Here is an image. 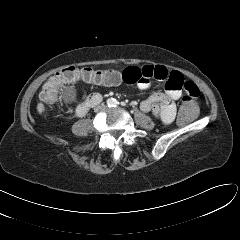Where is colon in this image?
I'll use <instances>...</instances> for the list:
<instances>
[{
	"instance_id": "1",
	"label": "colon",
	"mask_w": 240,
	"mask_h": 240,
	"mask_svg": "<svg viewBox=\"0 0 240 240\" xmlns=\"http://www.w3.org/2000/svg\"><path fill=\"white\" fill-rule=\"evenodd\" d=\"M116 73L113 71H101L92 68L67 67L54 74L42 87L40 97L48 105H53L57 99L58 87L67 82L83 81L86 83H96L106 76H112ZM197 106L193 99L185 96L182 99L179 111V121L188 123L197 115Z\"/></svg>"
}]
</instances>
